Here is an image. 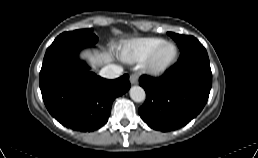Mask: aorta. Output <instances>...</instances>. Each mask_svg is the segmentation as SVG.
Returning <instances> with one entry per match:
<instances>
[{
	"label": "aorta",
	"instance_id": "aorta-1",
	"mask_svg": "<svg viewBox=\"0 0 258 158\" xmlns=\"http://www.w3.org/2000/svg\"><path fill=\"white\" fill-rule=\"evenodd\" d=\"M130 97L133 101L135 102H143L146 98L145 91L142 87L140 86H133L130 89Z\"/></svg>",
	"mask_w": 258,
	"mask_h": 158
}]
</instances>
